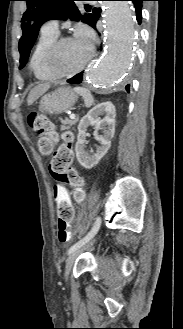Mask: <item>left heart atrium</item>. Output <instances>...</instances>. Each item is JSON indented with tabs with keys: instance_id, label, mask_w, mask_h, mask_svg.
Returning a JSON list of instances; mask_svg holds the SVG:
<instances>
[{
	"instance_id": "1",
	"label": "left heart atrium",
	"mask_w": 183,
	"mask_h": 329,
	"mask_svg": "<svg viewBox=\"0 0 183 329\" xmlns=\"http://www.w3.org/2000/svg\"><path fill=\"white\" fill-rule=\"evenodd\" d=\"M78 44L90 50L94 43V33L86 25L78 24L75 28L74 38Z\"/></svg>"
}]
</instances>
